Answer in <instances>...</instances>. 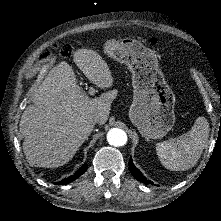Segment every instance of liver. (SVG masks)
Here are the masks:
<instances>
[{
  "label": "liver",
  "instance_id": "6515ba94",
  "mask_svg": "<svg viewBox=\"0 0 221 221\" xmlns=\"http://www.w3.org/2000/svg\"><path fill=\"white\" fill-rule=\"evenodd\" d=\"M73 61L88 81L105 87L112 83L107 65L95 52L79 50ZM115 94L89 99L81 94L75 73L61 61L35 90L33 104L26 106L19 131L23 152L31 166L54 168L68 163L92 133V113L106 123Z\"/></svg>",
  "mask_w": 221,
  "mask_h": 221
}]
</instances>
